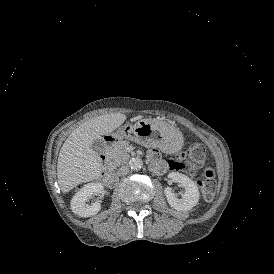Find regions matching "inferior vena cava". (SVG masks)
I'll return each instance as SVG.
<instances>
[{"instance_id": "1", "label": "inferior vena cava", "mask_w": 274, "mask_h": 274, "mask_svg": "<svg viewBox=\"0 0 274 274\" xmlns=\"http://www.w3.org/2000/svg\"><path fill=\"white\" fill-rule=\"evenodd\" d=\"M128 173H129V167L126 165L121 166L117 171L118 176H124V175H127Z\"/></svg>"}]
</instances>
